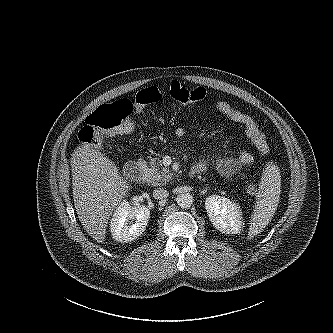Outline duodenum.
Returning a JSON list of instances; mask_svg holds the SVG:
<instances>
[{"label": "duodenum", "mask_w": 333, "mask_h": 333, "mask_svg": "<svg viewBox=\"0 0 333 333\" xmlns=\"http://www.w3.org/2000/svg\"><path fill=\"white\" fill-rule=\"evenodd\" d=\"M202 171L198 167H193L189 171V177H195ZM124 175L127 179L133 182H140L144 178V165L139 161H129L124 166Z\"/></svg>", "instance_id": "duodenum-1"}]
</instances>
